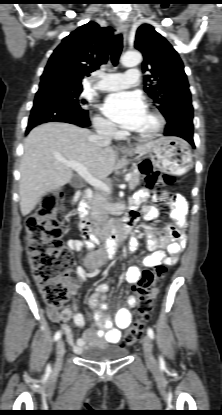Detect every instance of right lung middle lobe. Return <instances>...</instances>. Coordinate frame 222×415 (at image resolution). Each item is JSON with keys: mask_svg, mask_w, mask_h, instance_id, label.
I'll return each mask as SVG.
<instances>
[{"mask_svg": "<svg viewBox=\"0 0 222 415\" xmlns=\"http://www.w3.org/2000/svg\"><path fill=\"white\" fill-rule=\"evenodd\" d=\"M61 86H62L63 90L67 94H69V96H71L79 104H85L86 103V101L84 99L80 98V94L82 92V87L71 86V85H67V84H64V83H61Z\"/></svg>", "mask_w": 222, "mask_h": 415, "instance_id": "1", "label": "right lung middle lobe"}]
</instances>
